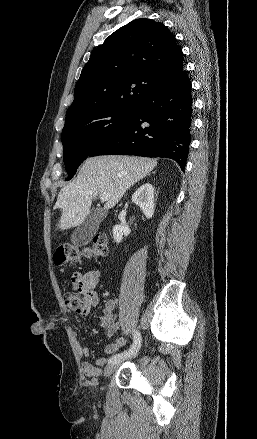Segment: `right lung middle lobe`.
Masks as SVG:
<instances>
[{"label":"right lung middle lobe","instance_id":"1","mask_svg":"<svg viewBox=\"0 0 257 439\" xmlns=\"http://www.w3.org/2000/svg\"><path fill=\"white\" fill-rule=\"evenodd\" d=\"M136 108L107 107L65 120L62 131L64 162L70 180L79 165L105 138L125 124Z\"/></svg>","mask_w":257,"mask_h":439}]
</instances>
